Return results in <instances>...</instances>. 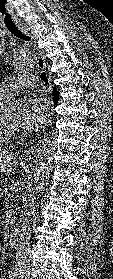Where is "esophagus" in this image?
<instances>
[{
	"mask_svg": "<svg viewBox=\"0 0 113 279\" xmlns=\"http://www.w3.org/2000/svg\"><path fill=\"white\" fill-rule=\"evenodd\" d=\"M17 26L24 34H26L27 36H30L32 38L33 43H34V49L36 50L37 55H38L37 68L40 71H45L46 70V56H45L44 50L41 49L37 44L36 34L31 29V27L26 24H18Z\"/></svg>",
	"mask_w": 113,
	"mask_h": 279,
	"instance_id": "34e87169",
	"label": "esophagus"
}]
</instances>
